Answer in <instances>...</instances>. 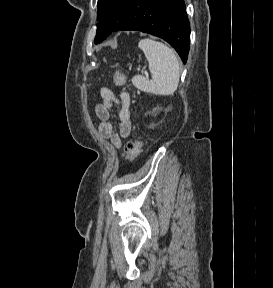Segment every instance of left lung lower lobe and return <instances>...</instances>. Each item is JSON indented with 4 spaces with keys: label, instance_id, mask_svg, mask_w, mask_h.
<instances>
[{
    "label": "left lung lower lobe",
    "instance_id": "0a47b994",
    "mask_svg": "<svg viewBox=\"0 0 273 288\" xmlns=\"http://www.w3.org/2000/svg\"><path fill=\"white\" fill-rule=\"evenodd\" d=\"M117 30H137L167 41L186 63L190 25L184 0H133Z\"/></svg>",
    "mask_w": 273,
    "mask_h": 288
}]
</instances>
